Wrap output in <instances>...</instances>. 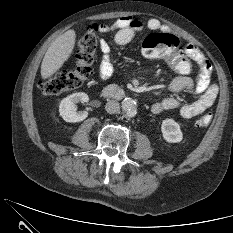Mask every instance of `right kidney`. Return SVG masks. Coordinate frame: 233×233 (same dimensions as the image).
Instances as JSON below:
<instances>
[{"mask_svg":"<svg viewBox=\"0 0 233 233\" xmlns=\"http://www.w3.org/2000/svg\"><path fill=\"white\" fill-rule=\"evenodd\" d=\"M89 97L86 93L79 92L67 96L61 100L59 106L60 116L66 122L76 123L85 120L88 116L87 111H77L76 103L78 102H88Z\"/></svg>","mask_w":233,"mask_h":233,"instance_id":"obj_1","label":"right kidney"}]
</instances>
